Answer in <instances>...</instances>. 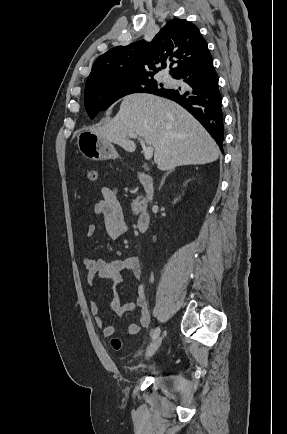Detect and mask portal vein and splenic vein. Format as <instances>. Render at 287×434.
<instances>
[{
  "mask_svg": "<svg viewBox=\"0 0 287 434\" xmlns=\"http://www.w3.org/2000/svg\"><path fill=\"white\" fill-rule=\"evenodd\" d=\"M127 135L130 138H137V135L135 133H132V132L127 133ZM140 143H141V145L143 147V153H144L145 159L146 160H150L152 158V156H153L154 148L152 146H146L145 142L143 140H141V139H140Z\"/></svg>",
  "mask_w": 287,
  "mask_h": 434,
  "instance_id": "1",
  "label": "portal vein and splenic vein"
}]
</instances>
